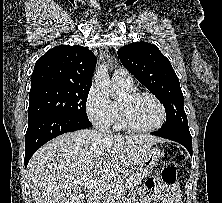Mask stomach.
I'll list each match as a JSON object with an SVG mask.
<instances>
[{"label":"stomach","mask_w":222,"mask_h":203,"mask_svg":"<svg viewBox=\"0 0 222 203\" xmlns=\"http://www.w3.org/2000/svg\"><path fill=\"white\" fill-rule=\"evenodd\" d=\"M160 156L161 150L157 146L151 147L145 151L142 160L136 165L134 170L136 184L152 173V170L157 164Z\"/></svg>","instance_id":"1"}]
</instances>
